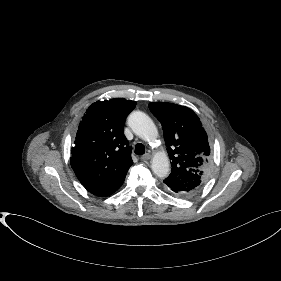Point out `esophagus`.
I'll return each mask as SVG.
<instances>
[{"label":"esophagus","mask_w":281,"mask_h":281,"mask_svg":"<svg viewBox=\"0 0 281 281\" xmlns=\"http://www.w3.org/2000/svg\"><path fill=\"white\" fill-rule=\"evenodd\" d=\"M151 158V155L149 153H146L141 156V161L146 162Z\"/></svg>","instance_id":"1"}]
</instances>
